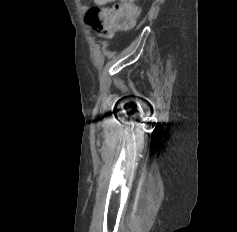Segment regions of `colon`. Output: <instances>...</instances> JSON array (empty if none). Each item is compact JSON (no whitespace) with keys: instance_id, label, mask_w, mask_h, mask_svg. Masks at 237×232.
Wrapping results in <instances>:
<instances>
[{"instance_id":"colon-1","label":"colon","mask_w":237,"mask_h":232,"mask_svg":"<svg viewBox=\"0 0 237 232\" xmlns=\"http://www.w3.org/2000/svg\"><path fill=\"white\" fill-rule=\"evenodd\" d=\"M112 0H100L101 3ZM136 0H120L111 7H92L86 15V23L103 40H111L118 32L132 29L137 21L139 10Z\"/></svg>"}]
</instances>
